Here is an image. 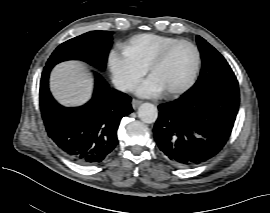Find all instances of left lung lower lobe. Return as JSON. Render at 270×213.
Instances as JSON below:
<instances>
[{
  "label": "left lung lower lobe",
  "mask_w": 270,
  "mask_h": 213,
  "mask_svg": "<svg viewBox=\"0 0 270 213\" xmlns=\"http://www.w3.org/2000/svg\"><path fill=\"white\" fill-rule=\"evenodd\" d=\"M154 138L178 167L199 165L227 142L239 109V87L229 76L200 91L158 106Z\"/></svg>",
  "instance_id": "obj_1"
}]
</instances>
